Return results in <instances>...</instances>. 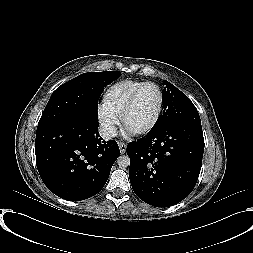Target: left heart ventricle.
I'll list each match as a JSON object with an SVG mask.
<instances>
[{"label":"left heart ventricle","instance_id":"b2bd125f","mask_svg":"<svg viewBox=\"0 0 253 253\" xmlns=\"http://www.w3.org/2000/svg\"><path fill=\"white\" fill-rule=\"evenodd\" d=\"M159 100L160 96L155 87L144 88L126 118V128L136 131L148 126L157 111Z\"/></svg>","mask_w":253,"mask_h":253}]
</instances>
